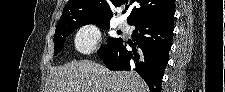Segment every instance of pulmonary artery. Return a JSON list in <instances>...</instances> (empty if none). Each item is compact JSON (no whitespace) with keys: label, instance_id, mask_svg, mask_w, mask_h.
Returning a JSON list of instances; mask_svg holds the SVG:
<instances>
[{"label":"pulmonary artery","instance_id":"e3ab8cb5","mask_svg":"<svg viewBox=\"0 0 225 92\" xmlns=\"http://www.w3.org/2000/svg\"><path fill=\"white\" fill-rule=\"evenodd\" d=\"M119 26H120V28H122V29H126V28L128 27V23H127L126 20H121V21L119 22Z\"/></svg>","mask_w":225,"mask_h":92}]
</instances>
